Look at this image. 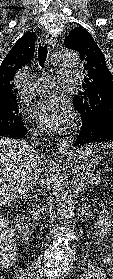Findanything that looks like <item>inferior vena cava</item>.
Segmentation results:
<instances>
[{
	"label": "inferior vena cava",
	"instance_id": "602c4592",
	"mask_svg": "<svg viewBox=\"0 0 113 279\" xmlns=\"http://www.w3.org/2000/svg\"><path fill=\"white\" fill-rule=\"evenodd\" d=\"M31 135H32V142H31V145L34 147V146H37L39 144V141L37 140V131L35 130H31ZM32 148V147H31ZM32 151L36 152L33 148H32ZM33 184L34 185H38L40 188L43 187L44 185V181L43 179H41L39 177V174L36 173L34 179H33ZM39 190V189H38Z\"/></svg>",
	"mask_w": 113,
	"mask_h": 279
}]
</instances>
